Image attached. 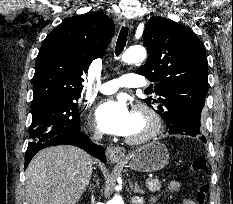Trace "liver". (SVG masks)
<instances>
[{
	"label": "liver",
	"instance_id": "6515ba94",
	"mask_svg": "<svg viewBox=\"0 0 233 204\" xmlns=\"http://www.w3.org/2000/svg\"><path fill=\"white\" fill-rule=\"evenodd\" d=\"M92 169V158L75 146L41 150L25 172L30 204H76L89 184Z\"/></svg>",
	"mask_w": 233,
	"mask_h": 204
}]
</instances>
